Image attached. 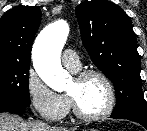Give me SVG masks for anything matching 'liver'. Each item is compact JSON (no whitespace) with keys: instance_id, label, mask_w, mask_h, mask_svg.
I'll use <instances>...</instances> for the list:
<instances>
[{"instance_id":"liver-1","label":"liver","mask_w":147,"mask_h":131,"mask_svg":"<svg viewBox=\"0 0 147 131\" xmlns=\"http://www.w3.org/2000/svg\"><path fill=\"white\" fill-rule=\"evenodd\" d=\"M76 128L51 127L41 122H26L17 115L0 113V131H75Z\"/></svg>"}]
</instances>
